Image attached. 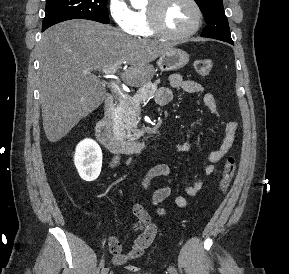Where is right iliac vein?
<instances>
[{
	"label": "right iliac vein",
	"mask_w": 289,
	"mask_h": 274,
	"mask_svg": "<svg viewBox=\"0 0 289 274\" xmlns=\"http://www.w3.org/2000/svg\"><path fill=\"white\" fill-rule=\"evenodd\" d=\"M101 274H108V268H102Z\"/></svg>",
	"instance_id": "obj_1"
}]
</instances>
